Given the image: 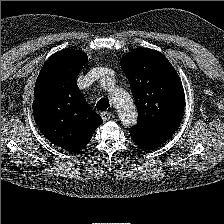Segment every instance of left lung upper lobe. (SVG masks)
Here are the masks:
<instances>
[{
	"mask_svg": "<svg viewBox=\"0 0 224 224\" xmlns=\"http://www.w3.org/2000/svg\"><path fill=\"white\" fill-rule=\"evenodd\" d=\"M120 64L138 111L137 124L129 130L163 144L177 130L184 112L185 95L177 72L162 53L148 48L134 50Z\"/></svg>",
	"mask_w": 224,
	"mask_h": 224,
	"instance_id": "obj_1",
	"label": "left lung upper lobe"
}]
</instances>
